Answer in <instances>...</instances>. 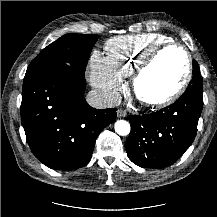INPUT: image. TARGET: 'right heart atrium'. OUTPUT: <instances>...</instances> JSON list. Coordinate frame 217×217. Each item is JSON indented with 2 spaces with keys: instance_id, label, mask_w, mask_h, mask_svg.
I'll return each instance as SVG.
<instances>
[{
  "instance_id": "d8ad5b80",
  "label": "right heart atrium",
  "mask_w": 217,
  "mask_h": 217,
  "mask_svg": "<svg viewBox=\"0 0 217 217\" xmlns=\"http://www.w3.org/2000/svg\"><path fill=\"white\" fill-rule=\"evenodd\" d=\"M90 82L107 102H114L118 92L123 87V80L114 73L107 59L99 51H94L90 57Z\"/></svg>"
}]
</instances>
